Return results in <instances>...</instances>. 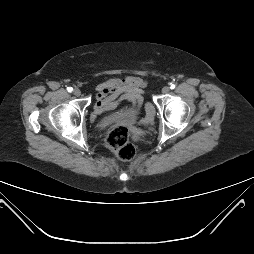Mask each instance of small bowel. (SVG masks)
Listing matches in <instances>:
<instances>
[{
  "label": "small bowel",
  "instance_id": "small-bowel-1",
  "mask_svg": "<svg viewBox=\"0 0 254 254\" xmlns=\"http://www.w3.org/2000/svg\"><path fill=\"white\" fill-rule=\"evenodd\" d=\"M147 82L137 76L126 78H111L100 83L95 89V104L92 111V119L104 111L115 109L120 100L131 102V110L140 107L143 100V92ZM154 111L148 108L147 119L150 120Z\"/></svg>",
  "mask_w": 254,
  "mask_h": 254
}]
</instances>
